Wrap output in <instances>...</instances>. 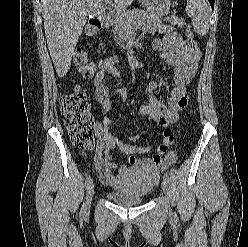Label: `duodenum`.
Listing matches in <instances>:
<instances>
[{
	"label": "duodenum",
	"mask_w": 248,
	"mask_h": 247,
	"mask_svg": "<svg viewBox=\"0 0 248 247\" xmlns=\"http://www.w3.org/2000/svg\"><path fill=\"white\" fill-rule=\"evenodd\" d=\"M98 25L100 27H106L108 25V18L106 16H99L97 19Z\"/></svg>",
	"instance_id": "410a0bca"
}]
</instances>
